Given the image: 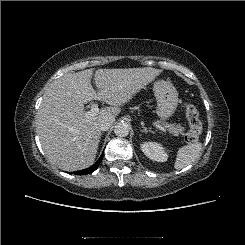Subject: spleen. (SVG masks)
I'll return each instance as SVG.
<instances>
[{"label": "spleen", "mask_w": 245, "mask_h": 245, "mask_svg": "<svg viewBox=\"0 0 245 245\" xmlns=\"http://www.w3.org/2000/svg\"><path fill=\"white\" fill-rule=\"evenodd\" d=\"M202 149L200 142L191 143L180 147L177 151L174 168L180 170L195 161Z\"/></svg>", "instance_id": "3e777b00"}]
</instances>
